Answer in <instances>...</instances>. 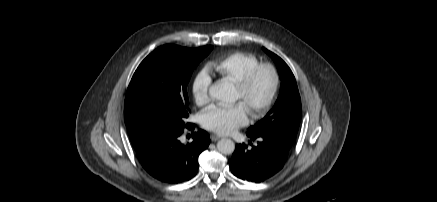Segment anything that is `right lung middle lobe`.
<instances>
[{
    "instance_id": "obj_1",
    "label": "right lung middle lobe",
    "mask_w": 437,
    "mask_h": 202,
    "mask_svg": "<svg viewBox=\"0 0 437 202\" xmlns=\"http://www.w3.org/2000/svg\"><path fill=\"white\" fill-rule=\"evenodd\" d=\"M212 49L167 44L141 62L128 86L124 106V120L135 150L185 127L190 112L188 82Z\"/></svg>"
}]
</instances>
